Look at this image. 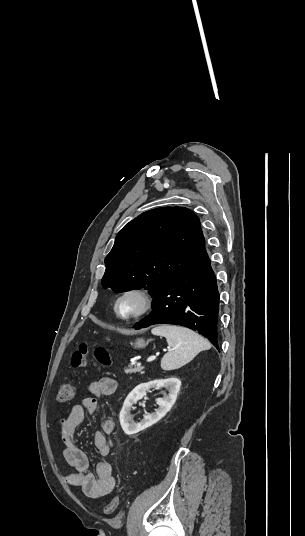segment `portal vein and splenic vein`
<instances>
[{
    "mask_svg": "<svg viewBox=\"0 0 305 536\" xmlns=\"http://www.w3.org/2000/svg\"><path fill=\"white\" fill-rule=\"evenodd\" d=\"M174 350V348H173ZM169 352H171V350H169ZM156 356H150V358H147V362H153V360H155Z\"/></svg>",
    "mask_w": 305,
    "mask_h": 536,
    "instance_id": "18ae733b",
    "label": "portal vein and splenic vein"
}]
</instances>
